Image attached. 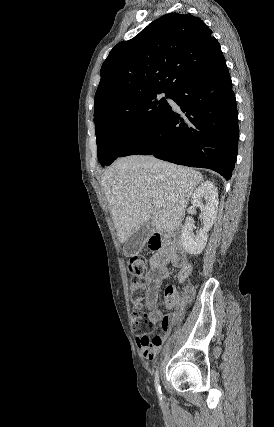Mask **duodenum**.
<instances>
[{
    "instance_id": "1",
    "label": "duodenum",
    "mask_w": 274,
    "mask_h": 427,
    "mask_svg": "<svg viewBox=\"0 0 274 427\" xmlns=\"http://www.w3.org/2000/svg\"><path fill=\"white\" fill-rule=\"evenodd\" d=\"M151 242L156 249H160L164 246L166 237L162 234L161 231L157 230L151 237Z\"/></svg>"
}]
</instances>
